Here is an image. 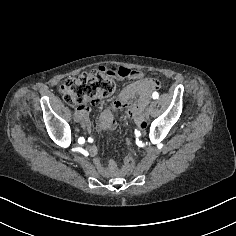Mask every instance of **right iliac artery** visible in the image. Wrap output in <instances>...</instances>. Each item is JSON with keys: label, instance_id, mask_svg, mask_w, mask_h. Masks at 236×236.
<instances>
[{"label": "right iliac artery", "instance_id": "1", "mask_svg": "<svg viewBox=\"0 0 236 236\" xmlns=\"http://www.w3.org/2000/svg\"><path fill=\"white\" fill-rule=\"evenodd\" d=\"M78 143H79V144H84V143H85V139H84L83 137H80V138L78 139Z\"/></svg>", "mask_w": 236, "mask_h": 236}]
</instances>
